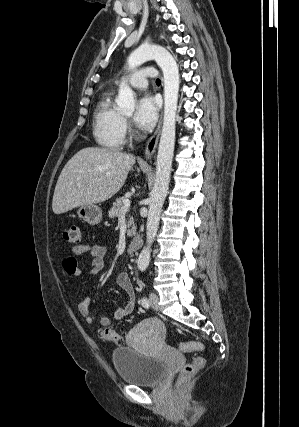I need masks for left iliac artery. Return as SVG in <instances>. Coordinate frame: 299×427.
<instances>
[{"label":"left iliac artery","mask_w":299,"mask_h":427,"mask_svg":"<svg viewBox=\"0 0 299 427\" xmlns=\"http://www.w3.org/2000/svg\"><path fill=\"white\" fill-rule=\"evenodd\" d=\"M141 304H142L143 307L148 308L149 307V301H148V299L146 297H143L141 299Z\"/></svg>","instance_id":"obj_1"}]
</instances>
